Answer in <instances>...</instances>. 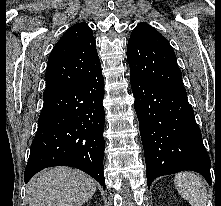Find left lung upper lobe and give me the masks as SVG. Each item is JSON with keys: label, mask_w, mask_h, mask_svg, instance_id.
Wrapping results in <instances>:
<instances>
[{"label": "left lung upper lobe", "mask_w": 221, "mask_h": 206, "mask_svg": "<svg viewBox=\"0 0 221 206\" xmlns=\"http://www.w3.org/2000/svg\"><path fill=\"white\" fill-rule=\"evenodd\" d=\"M130 75L165 88L186 92L176 55L169 42L152 26L141 22L127 46Z\"/></svg>", "instance_id": "obj_1"}]
</instances>
